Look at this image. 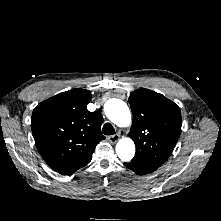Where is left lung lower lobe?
Wrapping results in <instances>:
<instances>
[{"instance_id":"0a47b994","label":"left lung lower lobe","mask_w":221,"mask_h":221,"mask_svg":"<svg viewBox=\"0 0 221 221\" xmlns=\"http://www.w3.org/2000/svg\"><path fill=\"white\" fill-rule=\"evenodd\" d=\"M124 165L139 175L151 173L160 166L136 159H132L131 162L124 163Z\"/></svg>"}]
</instances>
